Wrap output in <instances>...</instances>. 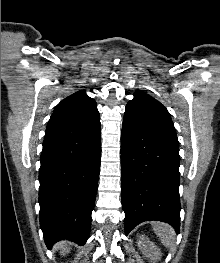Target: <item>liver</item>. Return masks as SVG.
Returning <instances> with one entry per match:
<instances>
[{
    "label": "liver",
    "mask_w": 220,
    "mask_h": 263,
    "mask_svg": "<svg viewBox=\"0 0 220 263\" xmlns=\"http://www.w3.org/2000/svg\"><path fill=\"white\" fill-rule=\"evenodd\" d=\"M57 246L62 249V253L68 252L67 242H60Z\"/></svg>",
    "instance_id": "6515ba94"
}]
</instances>
